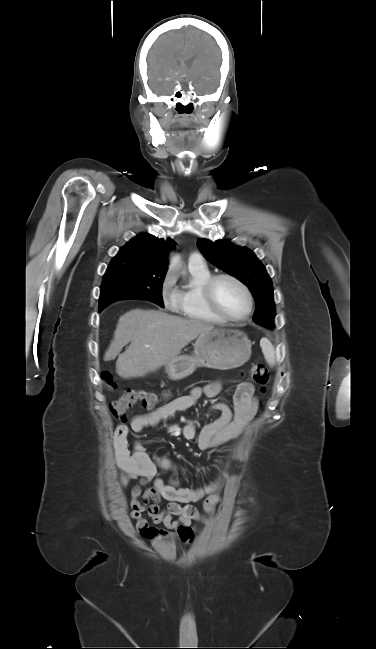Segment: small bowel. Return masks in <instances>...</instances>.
<instances>
[{"label":"small bowel","instance_id":"1","mask_svg":"<svg viewBox=\"0 0 376 649\" xmlns=\"http://www.w3.org/2000/svg\"><path fill=\"white\" fill-rule=\"evenodd\" d=\"M221 387L222 384L218 380L204 387H194L189 395L175 398L149 413L136 415L129 425L121 424L116 427L113 446L120 470V485L126 489L132 481H137L130 492V518L136 521L135 527L141 537L152 540L178 538L182 542L190 543L195 532L192 522L203 519L191 503L207 496L204 509L206 512H211L219 501L215 493L220 488V484L218 481H212L198 488H188L181 486L177 479L166 481L159 478L158 469L174 471L179 469L178 466L168 458L151 457L141 442H137L131 451L128 445L130 431L138 433L148 427H154L178 412L191 408L202 395L216 396ZM211 409L218 411L219 417L200 431L197 444L201 450L221 447L240 436L257 411V398L253 385L243 382L238 386L234 395L233 408L224 402H217L211 406ZM181 434L187 440L195 439L196 423L186 424ZM150 483L152 487L144 489ZM162 500L168 502L165 509L159 506ZM144 513L148 515L153 525L143 517ZM160 524L166 529L155 526Z\"/></svg>","mask_w":376,"mask_h":649}]
</instances>
